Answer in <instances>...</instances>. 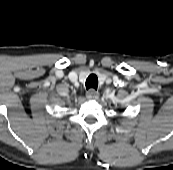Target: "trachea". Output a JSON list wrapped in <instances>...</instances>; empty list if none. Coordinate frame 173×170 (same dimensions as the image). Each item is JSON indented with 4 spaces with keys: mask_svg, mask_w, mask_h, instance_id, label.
I'll return each instance as SVG.
<instances>
[{
    "mask_svg": "<svg viewBox=\"0 0 173 170\" xmlns=\"http://www.w3.org/2000/svg\"><path fill=\"white\" fill-rule=\"evenodd\" d=\"M87 89H97L98 86V77L95 74H90L85 82Z\"/></svg>",
    "mask_w": 173,
    "mask_h": 170,
    "instance_id": "obj_1",
    "label": "trachea"
}]
</instances>
